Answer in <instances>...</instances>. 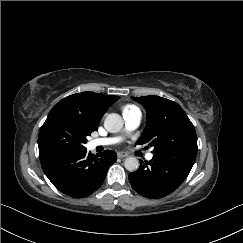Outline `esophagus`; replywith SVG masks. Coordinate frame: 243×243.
<instances>
[{
  "mask_svg": "<svg viewBox=\"0 0 243 243\" xmlns=\"http://www.w3.org/2000/svg\"><path fill=\"white\" fill-rule=\"evenodd\" d=\"M117 156H118L119 158H125V157L128 156V154H127L126 152L119 151V152L117 153Z\"/></svg>",
  "mask_w": 243,
  "mask_h": 243,
  "instance_id": "34e87169",
  "label": "esophagus"
}]
</instances>
